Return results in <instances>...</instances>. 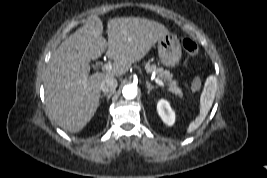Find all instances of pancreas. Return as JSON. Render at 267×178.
I'll use <instances>...</instances> for the list:
<instances>
[{
    "label": "pancreas",
    "mask_w": 267,
    "mask_h": 178,
    "mask_svg": "<svg viewBox=\"0 0 267 178\" xmlns=\"http://www.w3.org/2000/svg\"><path fill=\"white\" fill-rule=\"evenodd\" d=\"M147 71H155L157 77L163 80L168 86V90L179 97H183V93L178 86L176 80L172 79V74L168 70H164L162 67H157L156 65H150V63H146Z\"/></svg>",
    "instance_id": "1"
}]
</instances>
